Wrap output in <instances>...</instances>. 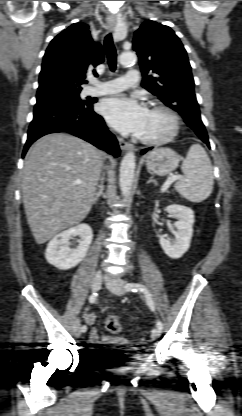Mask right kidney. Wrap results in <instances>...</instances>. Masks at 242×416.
<instances>
[{
	"label": "right kidney",
	"instance_id": "ca27d5eb",
	"mask_svg": "<svg viewBox=\"0 0 242 416\" xmlns=\"http://www.w3.org/2000/svg\"><path fill=\"white\" fill-rule=\"evenodd\" d=\"M79 236V245L70 248L69 240ZM93 233L88 224H79L56 235L49 243L45 252L48 263L61 270L77 266L86 256L92 242Z\"/></svg>",
	"mask_w": 242,
	"mask_h": 416
}]
</instances>
